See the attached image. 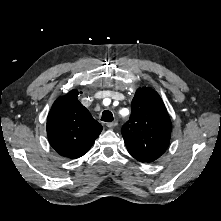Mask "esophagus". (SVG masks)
<instances>
[{"instance_id":"1","label":"esophagus","mask_w":221,"mask_h":221,"mask_svg":"<svg viewBox=\"0 0 221 221\" xmlns=\"http://www.w3.org/2000/svg\"><path fill=\"white\" fill-rule=\"evenodd\" d=\"M117 125H118V122H117V121L108 122V123L106 124V126H107L108 128H113V127H115V126H117Z\"/></svg>"}]
</instances>
